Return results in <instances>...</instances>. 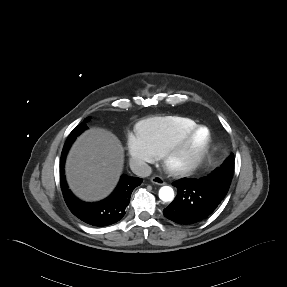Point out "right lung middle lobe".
Here are the masks:
<instances>
[{"label": "right lung middle lobe", "instance_id": "1", "mask_svg": "<svg viewBox=\"0 0 287 287\" xmlns=\"http://www.w3.org/2000/svg\"><path fill=\"white\" fill-rule=\"evenodd\" d=\"M89 120H90V118H86V119L83 121L82 124H86ZM82 124H80V125H82ZM80 125H79V126H80ZM77 127H78V126H77ZM77 127H76L72 132H75L76 129H77Z\"/></svg>", "mask_w": 287, "mask_h": 287}]
</instances>
